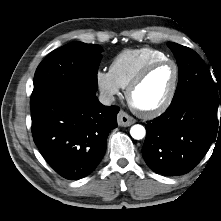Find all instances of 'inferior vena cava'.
<instances>
[{"mask_svg": "<svg viewBox=\"0 0 221 221\" xmlns=\"http://www.w3.org/2000/svg\"><path fill=\"white\" fill-rule=\"evenodd\" d=\"M98 99L101 104L106 106L111 105L115 101L113 94L108 91L101 92Z\"/></svg>", "mask_w": 221, "mask_h": 221, "instance_id": "obj_1", "label": "inferior vena cava"}]
</instances>
